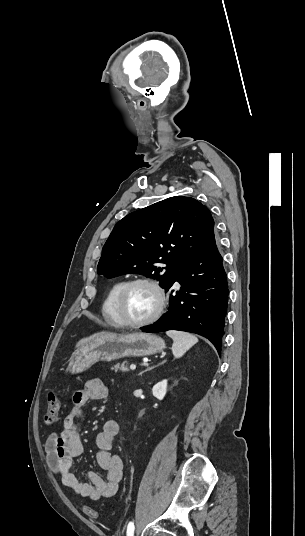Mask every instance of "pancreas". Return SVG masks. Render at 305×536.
<instances>
[{
  "mask_svg": "<svg viewBox=\"0 0 305 536\" xmlns=\"http://www.w3.org/2000/svg\"><path fill=\"white\" fill-rule=\"evenodd\" d=\"M126 364L127 362H122V364H116V366H114L112 370H115V372H118V370H120V372H129Z\"/></svg>",
  "mask_w": 305,
  "mask_h": 536,
  "instance_id": "cf45deb5",
  "label": "pancreas"
}]
</instances>
